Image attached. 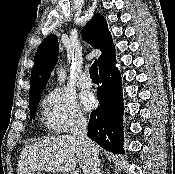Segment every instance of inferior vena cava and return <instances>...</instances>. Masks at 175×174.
I'll use <instances>...</instances> for the list:
<instances>
[{
	"label": "inferior vena cava",
	"mask_w": 175,
	"mask_h": 174,
	"mask_svg": "<svg viewBox=\"0 0 175 174\" xmlns=\"http://www.w3.org/2000/svg\"><path fill=\"white\" fill-rule=\"evenodd\" d=\"M71 132L73 137L84 145L90 156V170L88 174H101L99 169L100 160L98 158V148L87 136V120L85 118H78Z\"/></svg>",
	"instance_id": "1"
}]
</instances>
